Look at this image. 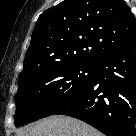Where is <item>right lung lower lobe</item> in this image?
Here are the masks:
<instances>
[{
	"mask_svg": "<svg viewBox=\"0 0 136 136\" xmlns=\"http://www.w3.org/2000/svg\"><path fill=\"white\" fill-rule=\"evenodd\" d=\"M51 115L80 119L107 136H135L136 38L100 58L89 85Z\"/></svg>",
	"mask_w": 136,
	"mask_h": 136,
	"instance_id": "1",
	"label": "right lung lower lobe"
}]
</instances>
